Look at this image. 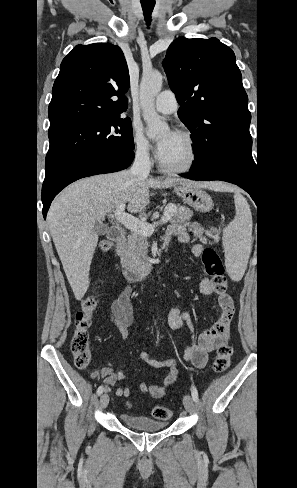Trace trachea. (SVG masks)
Wrapping results in <instances>:
<instances>
[{
	"instance_id": "1",
	"label": "trachea",
	"mask_w": 297,
	"mask_h": 488,
	"mask_svg": "<svg viewBox=\"0 0 297 488\" xmlns=\"http://www.w3.org/2000/svg\"><path fill=\"white\" fill-rule=\"evenodd\" d=\"M141 5H142V9H143V12H144V16H145V19H146V22H147V25H149L150 23V16H151V13L154 9V6H155V2H149L147 0H142L141 1Z\"/></svg>"
}]
</instances>
